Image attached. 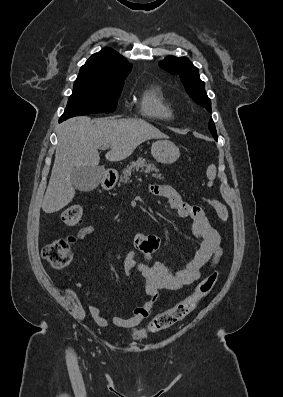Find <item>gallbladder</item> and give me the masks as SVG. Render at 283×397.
Instances as JSON below:
<instances>
[{
    "label": "gallbladder",
    "mask_w": 283,
    "mask_h": 397,
    "mask_svg": "<svg viewBox=\"0 0 283 397\" xmlns=\"http://www.w3.org/2000/svg\"><path fill=\"white\" fill-rule=\"evenodd\" d=\"M104 170L99 167H75L71 173L73 186L82 192L94 190L100 183Z\"/></svg>",
    "instance_id": "bac80fb5"
}]
</instances>
